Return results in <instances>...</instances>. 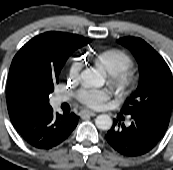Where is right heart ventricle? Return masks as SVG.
<instances>
[{
	"label": "right heart ventricle",
	"instance_id": "obj_1",
	"mask_svg": "<svg viewBox=\"0 0 173 170\" xmlns=\"http://www.w3.org/2000/svg\"><path fill=\"white\" fill-rule=\"evenodd\" d=\"M101 60L106 65L110 66L115 72H120L126 67V61L122 58L117 59L116 61H112L108 56H103L101 57Z\"/></svg>",
	"mask_w": 173,
	"mask_h": 170
}]
</instances>
